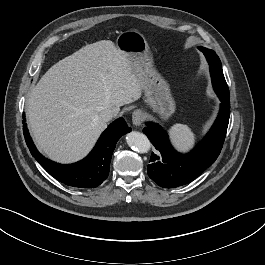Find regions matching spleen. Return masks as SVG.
<instances>
[{
    "instance_id": "obj_1",
    "label": "spleen",
    "mask_w": 265,
    "mask_h": 265,
    "mask_svg": "<svg viewBox=\"0 0 265 265\" xmlns=\"http://www.w3.org/2000/svg\"><path fill=\"white\" fill-rule=\"evenodd\" d=\"M169 136L174 147L181 152H187L193 148L196 136L188 125L175 124L169 129Z\"/></svg>"
}]
</instances>
